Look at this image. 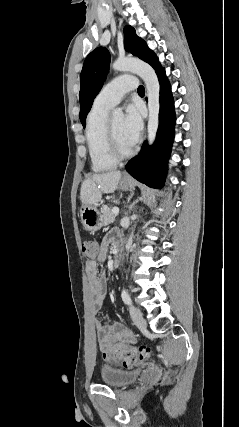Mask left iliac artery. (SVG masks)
<instances>
[{
    "label": "left iliac artery",
    "instance_id": "44dca946",
    "mask_svg": "<svg viewBox=\"0 0 239 427\" xmlns=\"http://www.w3.org/2000/svg\"><path fill=\"white\" fill-rule=\"evenodd\" d=\"M121 297H122V300L124 301V303H126L128 305H130L132 303L130 295L125 289L122 290Z\"/></svg>",
    "mask_w": 239,
    "mask_h": 427
}]
</instances>
